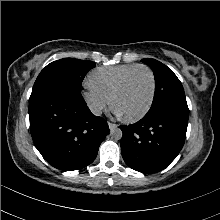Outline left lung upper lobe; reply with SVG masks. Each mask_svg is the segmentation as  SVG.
<instances>
[{
	"instance_id": "5c2ea615",
	"label": "left lung upper lobe",
	"mask_w": 220,
	"mask_h": 220,
	"mask_svg": "<svg viewBox=\"0 0 220 220\" xmlns=\"http://www.w3.org/2000/svg\"><path fill=\"white\" fill-rule=\"evenodd\" d=\"M141 61L153 69L156 81L153 103L147 114L167 110L188 117L184 89L173 71L155 59L145 58Z\"/></svg>"
}]
</instances>
